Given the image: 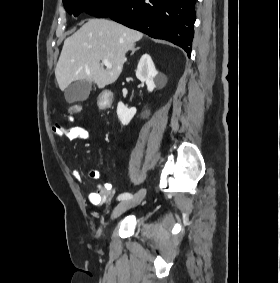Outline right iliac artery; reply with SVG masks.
Instances as JSON below:
<instances>
[{
	"label": "right iliac artery",
	"instance_id": "right-iliac-artery-1",
	"mask_svg": "<svg viewBox=\"0 0 280 283\" xmlns=\"http://www.w3.org/2000/svg\"><path fill=\"white\" fill-rule=\"evenodd\" d=\"M133 197V195L132 194H130V193H128V192H124V193H121L118 197H117V199L120 201V200H127V199H130V198H132Z\"/></svg>",
	"mask_w": 280,
	"mask_h": 283
}]
</instances>
